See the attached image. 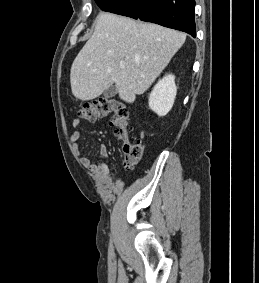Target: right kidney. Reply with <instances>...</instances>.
Wrapping results in <instances>:
<instances>
[{"label":"right kidney","mask_w":259,"mask_h":283,"mask_svg":"<svg viewBox=\"0 0 259 283\" xmlns=\"http://www.w3.org/2000/svg\"><path fill=\"white\" fill-rule=\"evenodd\" d=\"M176 93L175 76L172 74L164 76L154 86L149 96L150 109L159 116H165L174 104Z\"/></svg>","instance_id":"ca27d5eb"}]
</instances>
